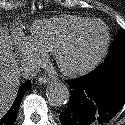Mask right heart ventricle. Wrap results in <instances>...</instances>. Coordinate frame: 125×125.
<instances>
[{
  "label": "right heart ventricle",
  "mask_w": 125,
  "mask_h": 125,
  "mask_svg": "<svg viewBox=\"0 0 125 125\" xmlns=\"http://www.w3.org/2000/svg\"><path fill=\"white\" fill-rule=\"evenodd\" d=\"M89 20L72 15L38 20L31 26L30 38L42 53H53L63 39Z\"/></svg>",
  "instance_id": "1"
}]
</instances>
